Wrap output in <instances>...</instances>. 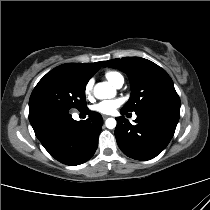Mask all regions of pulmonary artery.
<instances>
[{"label": "pulmonary artery", "instance_id": "obj_1", "mask_svg": "<svg viewBox=\"0 0 210 210\" xmlns=\"http://www.w3.org/2000/svg\"><path fill=\"white\" fill-rule=\"evenodd\" d=\"M122 85H123V80L119 81L115 86L117 88H120V87H122Z\"/></svg>", "mask_w": 210, "mask_h": 210}]
</instances>
